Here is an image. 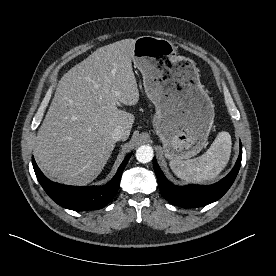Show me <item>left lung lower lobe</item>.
I'll list each match as a JSON object with an SVG mask.
<instances>
[{"instance_id":"1","label":"left lung lower lobe","mask_w":276,"mask_h":276,"mask_svg":"<svg viewBox=\"0 0 276 276\" xmlns=\"http://www.w3.org/2000/svg\"><path fill=\"white\" fill-rule=\"evenodd\" d=\"M240 147H242L241 143ZM241 159L242 150L240 149L237 162L230 173L219 182L209 186L192 184L180 187L172 184L162 173L155 158H153V168L157 176L160 192L167 201L180 207L195 208L217 201L228 191L238 174Z\"/></svg>"}]
</instances>
